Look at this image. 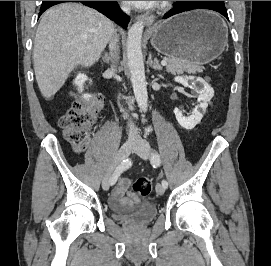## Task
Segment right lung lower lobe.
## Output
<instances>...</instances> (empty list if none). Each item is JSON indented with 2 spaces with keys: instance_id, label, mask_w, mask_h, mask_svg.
I'll list each match as a JSON object with an SVG mask.
<instances>
[{
  "instance_id": "1",
  "label": "right lung lower lobe",
  "mask_w": 271,
  "mask_h": 266,
  "mask_svg": "<svg viewBox=\"0 0 271 266\" xmlns=\"http://www.w3.org/2000/svg\"><path fill=\"white\" fill-rule=\"evenodd\" d=\"M63 2H81L82 4L101 12L125 29L127 28V24L130 20V18L121 11L117 1H43L39 15H41L49 7Z\"/></svg>"
}]
</instances>
